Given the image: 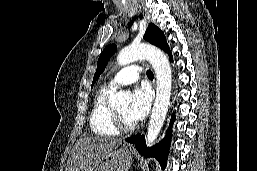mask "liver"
<instances>
[{
	"label": "liver",
	"instance_id": "obj_1",
	"mask_svg": "<svg viewBox=\"0 0 257 171\" xmlns=\"http://www.w3.org/2000/svg\"><path fill=\"white\" fill-rule=\"evenodd\" d=\"M122 140L99 136L80 138L68 158L66 171H95L101 160Z\"/></svg>",
	"mask_w": 257,
	"mask_h": 171
}]
</instances>
